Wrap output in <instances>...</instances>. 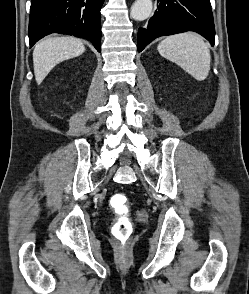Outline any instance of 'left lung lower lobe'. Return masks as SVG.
<instances>
[{"label":"left lung lower lobe","instance_id":"obj_1","mask_svg":"<svg viewBox=\"0 0 249 294\" xmlns=\"http://www.w3.org/2000/svg\"><path fill=\"white\" fill-rule=\"evenodd\" d=\"M159 7L146 28L138 30V51L155 38L195 31L213 46L215 28L210 0H157Z\"/></svg>","mask_w":249,"mask_h":294}]
</instances>
